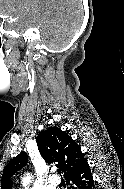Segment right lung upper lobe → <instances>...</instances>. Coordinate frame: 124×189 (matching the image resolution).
I'll return each instance as SVG.
<instances>
[{
	"label": "right lung upper lobe",
	"mask_w": 124,
	"mask_h": 189,
	"mask_svg": "<svg viewBox=\"0 0 124 189\" xmlns=\"http://www.w3.org/2000/svg\"><path fill=\"white\" fill-rule=\"evenodd\" d=\"M39 152L47 163L58 162L65 174L79 167L86 159L78 144L58 127H50L40 132L36 138ZM28 156L21 152L4 168L1 189H11V176L27 164Z\"/></svg>",
	"instance_id": "right-lung-upper-lobe-1"
}]
</instances>
